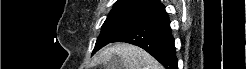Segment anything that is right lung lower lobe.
Instances as JSON below:
<instances>
[{
	"instance_id": "right-lung-lower-lobe-1",
	"label": "right lung lower lobe",
	"mask_w": 246,
	"mask_h": 69,
	"mask_svg": "<svg viewBox=\"0 0 246 69\" xmlns=\"http://www.w3.org/2000/svg\"><path fill=\"white\" fill-rule=\"evenodd\" d=\"M142 21L112 42L137 45L155 57L166 69H177L170 21L163 5L142 15Z\"/></svg>"
}]
</instances>
